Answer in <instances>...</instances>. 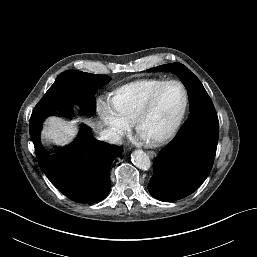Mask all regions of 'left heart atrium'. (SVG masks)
Listing matches in <instances>:
<instances>
[{"label":"left heart atrium","mask_w":257,"mask_h":257,"mask_svg":"<svg viewBox=\"0 0 257 257\" xmlns=\"http://www.w3.org/2000/svg\"><path fill=\"white\" fill-rule=\"evenodd\" d=\"M133 141L137 143H148L149 138H147L142 132L138 131L137 135L133 138Z\"/></svg>","instance_id":"39dd6f15"}]
</instances>
